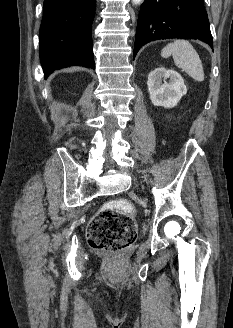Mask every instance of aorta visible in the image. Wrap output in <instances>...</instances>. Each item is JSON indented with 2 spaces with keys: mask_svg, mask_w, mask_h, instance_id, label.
Wrapping results in <instances>:
<instances>
[{
  "mask_svg": "<svg viewBox=\"0 0 233 328\" xmlns=\"http://www.w3.org/2000/svg\"><path fill=\"white\" fill-rule=\"evenodd\" d=\"M142 2H143V0H132V3L134 5H138V4L142 3Z\"/></svg>",
  "mask_w": 233,
  "mask_h": 328,
  "instance_id": "aorta-1",
  "label": "aorta"
}]
</instances>
